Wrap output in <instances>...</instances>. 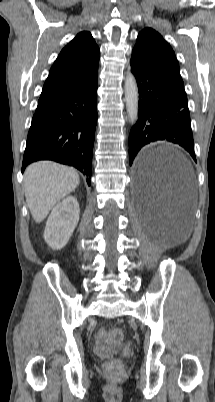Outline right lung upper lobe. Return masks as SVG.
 <instances>
[{"label":"right lung upper lobe","instance_id":"right-lung-upper-lobe-1","mask_svg":"<svg viewBox=\"0 0 215 402\" xmlns=\"http://www.w3.org/2000/svg\"><path fill=\"white\" fill-rule=\"evenodd\" d=\"M98 63L99 47L89 32H80L52 65L38 104H46L93 80L98 75Z\"/></svg>","mask_w":215,"mask_h":402}]
</instances>
